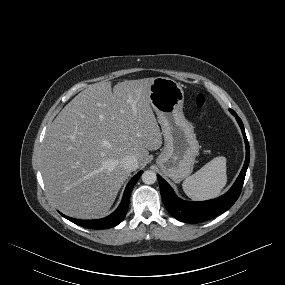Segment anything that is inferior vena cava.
<instances>
[{
  "mask_svg": "<svg viewBox=\"0 0 285 285\" xmlns=\"http://www.w3.org/2000/svg\"><path fill=\"white\" fill-rule=\"evenodd\" d=\"M123 167L129 171H134L138 168V160L133 155H128L121 160Z\"/></svg>",
  "mask_w": 285,
  "mask_h": 285,
  "instance_id": "602c4592",
  "label": "inferior vena cava"
}]
</instances>
